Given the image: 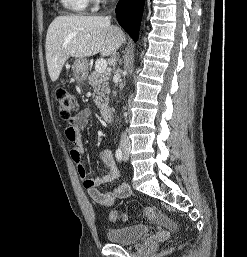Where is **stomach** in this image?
Here are the masks:
<instances>
[{"label":"stomach","mask_w":247,"mask_h":257,"mask_svg":"<svg viewBox=\"0 0 247 257\" xmlns=\"http://www.w3.org/2000/svg\"><path fill=\"white\" fill-rule=\"evenodd\" d=\"M72 70L76 80L84 81L88 75V63L86 59H76L72 65Z\"/></svg>","instance_id":"obj_1"}]
</instances>
